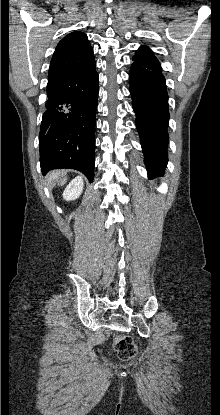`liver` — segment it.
Segmentation results:
<instances>
[{"label":"liver","instance_id":"liver-1","mask_svg":"<svg viewBox=\"0 0 220 415\" xmlns=\"http://www.w3.org/2000/svg\"><path fill=\"white\" fill-rule=\"evenodd\" d=\"M61 175V171H53L49 174V180H54L57 179L59 176ZM67 181L66 177H63L62 179H60V181L58 182V185H64L65 182Z\"/></svg>","mask_w":220,"mask_h":415}]
</instances>
